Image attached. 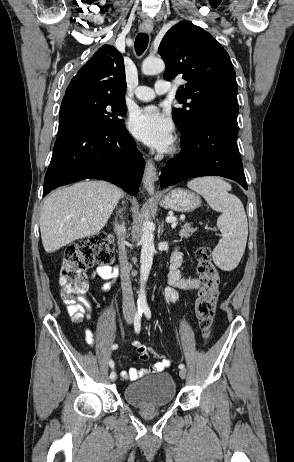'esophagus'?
Returning <instances> with one entry per match:
<instances>
[{
  "instance_id": "1",
  "label": "esophagus",
  "mask_w": 294,
  "mask_h": 462,
  "mask_svg": "<svg viewBox=\"0 0 294 462\" xmlns=\"http://www.w3.org/2000/svg\"><path fill=\"white\" fill-rule=\"evenodd\" d=\"M139 30L144 33H151L153 30V24L150 21L144 22ZM157 172L154 163L151 160L146 161L144 175H143V186L149 192H154V183L156 181Z\"/></svg>"
}]
</instances>
